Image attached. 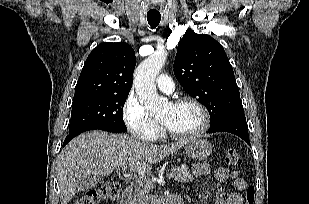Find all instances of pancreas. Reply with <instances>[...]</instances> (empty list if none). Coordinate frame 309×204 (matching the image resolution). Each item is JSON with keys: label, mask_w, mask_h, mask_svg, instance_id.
I'll use <instances>...</instances> for the list:
<instances>
[{"label": "pancreas", "mask_w": 309, "mask_h": 204, "mask_svg": "<svg viewBox=\"0 0 309 204\" xmlns=\"http://www.w3.org/2000/svg\"><path fill=\"white\" fill-rule=\"evenodd\" d=\"M171 178H173L177 182H190L193 180L192 175L188 169H182L180 167L172 168L171 170ZM153 188V183L149 179H145L138 186V190L141 194H146Z\"/></svg>", "instance_id": "obj_1"}]
</instances>
